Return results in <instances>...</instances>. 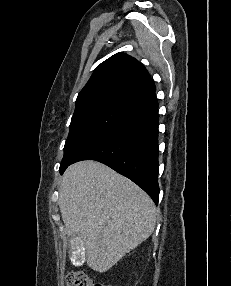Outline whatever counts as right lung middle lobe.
<instances>
[{
  "instance_id": "right-lung-middle-lobe-1",
  "label": "right lung middle lobe",
  "mask_w": 231,
  "mask_h": 286,
  "mask_svg": "<svg viewBox=\"0 0 231 286\" xmlns=\"http://www.w3.org/2000/svg\"><path fill=\"white\" fill-rule=\"evenodd\" d=\"M133 114V109L114 102L98 103L75 111L60 170L91 143Z\"/></svg>"
}]
</instances>
